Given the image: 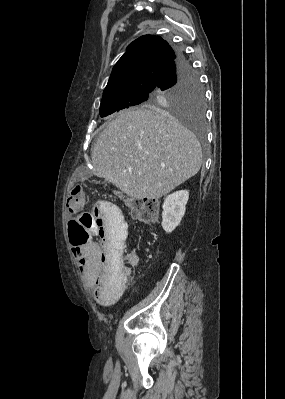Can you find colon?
Returning <instances> with one entry per match:
<instances>
[{"label":"colon","instance_id":"1","mask_svg":"<svg viewBox=\"0 0 285 399\" xmlns=\"http://www.w3.org/2000/svg\"><path fill=\"white\" fill-rule=\"evenodd\" d=\"M86 206V196L80 184H73L70 187L67 198L68 210L74 217L68 222V233L70 242L73 245H81L93 242L98 235H93L87 231V225L91 222V215L84 211ZM127 207L132 216L143 222L157 223L159 221V202L156 199L145 198L141 201L131 200L127 203ZM86 224V225H85ZM114 255L117 247L113 245L107 249ZM132 255H124V264L119 267V273L122 278H126L131 274L130 263Z\"/></svg>","mask_w":285,"mask_h":399}]
</instances>
